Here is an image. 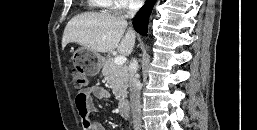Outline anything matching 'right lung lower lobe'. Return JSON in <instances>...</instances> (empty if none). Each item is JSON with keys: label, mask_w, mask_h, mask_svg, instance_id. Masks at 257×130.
Segmentation results:
<instances>
[{"label": "right lung lower lobe", "mask_w": 257, "mask_h": 130, "mask_svg": "<svg viewBox=\"0 0 257 130\" xmlns=\"http://www.w3.org/2000/svg\"><path fill=\"white\" fill-rule=\"evenodd\" d=\"M156 0L148 1L137 13L133 20L134 28L141 35H146L148 19Z\"/></svg>", "instance_id": "obj_1"}]
</instances>
